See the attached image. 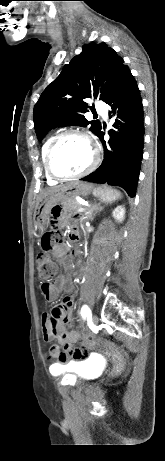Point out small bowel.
I'll return each instance as SVG.
<instances>
[{"label": "small bowel", "mask_w": 165, "mask_h": 461, "mask_svg": "<svg viewBox=\"0 0 165 461\" xmlns=\"http://www.w3.org/2000/svg\"><path fill=\"white\" fill-rule=\"evenodd\" d=\"M67 210V204H52L50 210V220L52 222H59L61 216L65 213L63 215V220L65 222L72 221L71 224L75 227L74 222H79L81 216L80 214H69L70 212H66ZM67 250L68 247L66 244H59L53 248L52 254L55 258L60 259L65 256ZM63 288L66 289L68 295L61 303L53 307V309H58L59 316H54L52 311L51 313H45L42 316L43 339L46 342H50L52 340H77V342L84 340L85 342H89V337L68 329L72 321L74 291V284L71 276L60 275L54 281H43L40 285L42 296L47 301H54ZM49 357L56 361V363L53 364V368L60 370L61 365L65 363L70 356L67 352L63 353L61 348H58L56 344H54L49 350Z\"/></svg>", "instance_id": "obj_1"}]
</instances>
